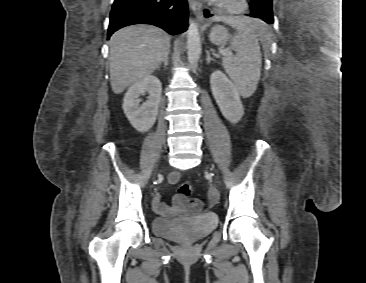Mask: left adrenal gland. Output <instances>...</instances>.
<instances>
[{
  "mask_svg": "<svg viewBox=\"0 0 366 283\" xmlns=\"http://www.w3.org/2000/svg\"><path fill=\"white\" fill-rule=\"evenodd\" d=\"M206 54H207V58H206V61H207V64L210 63V61H215L211 56H210V52L207 50L206 51Z\"/></svg>",
  "mask_w": 366,
  "mask_h": 283,
  "instance_id": "obj_1",
  "label": "left adrenal gland"
}]
</instances>
